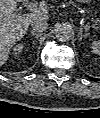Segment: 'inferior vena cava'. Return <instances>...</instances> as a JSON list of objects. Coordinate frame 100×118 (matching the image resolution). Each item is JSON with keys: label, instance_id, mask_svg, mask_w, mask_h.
Instances as JSON below:
<instances>
[{"label": "inferior vena cava", "instance_id": "obj_1", "mask_svg": "<svg viewBox=\"0 0 100 118\" xmlns=\"http://www.w3.org/2000/svg\"><path fill=\"white\" fill-rule=\"evenodd\" d=\"M31 26L35 32H44L48 28V23L43 18H36L31 21Z\"/></svg>", "mask_w": 100, "mask_h": 118}]
</instances>
